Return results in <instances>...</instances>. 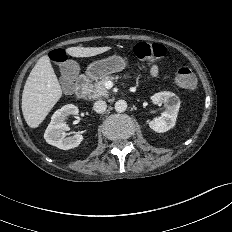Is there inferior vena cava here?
<instances>
[{
	"mask_svg": "<svg viewBox=\"0 0 232 232\" xmlns=\"http://www.w3.org/2000/svg\"><path fill=\"white\" fill-rule=\"evenodd\" d=\"M93 108L95 112L103 113L107 108V104L103 100H98L94 103Z\"/></svg>",
	"mask_w": 232,
	"mask_h": 232,
	"instance_id": "1",
	"label": "inferior vena cava"
}]
</instances>
